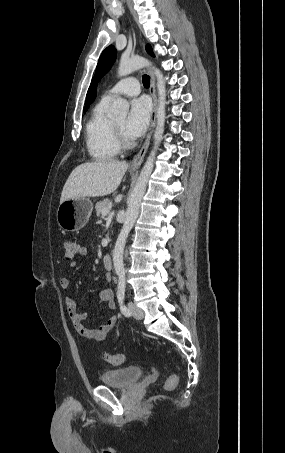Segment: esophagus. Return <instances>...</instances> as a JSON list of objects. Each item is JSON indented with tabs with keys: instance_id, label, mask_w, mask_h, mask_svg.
Listing matches in <instances>:
<instances>
[{
	"instance_id": "34e87169",
	"label": "esophagus",
	"mask_w": 285,
	"mask_h": 453,
	"mask_svg": "<svg viewBox=\"0 0 285 453\" xmlns=\"http://www.w3.org/2000/svg\"><path fill=\"white\" fill-rule=\"evenodd\" d=\"M148 71L150 74V90L149 91H150V94H151V97L153 100V110L151 113V124H150L149 132L147 134V137H146V140H145L143 146L141 147V149L138 151V153L135 155V157L133 158V160L130 163V167L132 169H137L142 164V161L144 159V156H145V154L148 150L149 144H150V139H151V135L153 132V128L155 126V113H156V108H157L155 77L150 68L148 69Z\"/></svg>"
}]
</instances>
